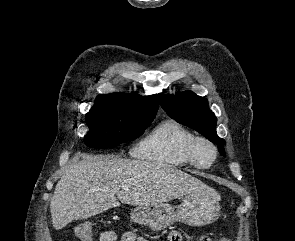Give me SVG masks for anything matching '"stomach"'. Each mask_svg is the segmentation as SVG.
Masks as SVG:
<instances>
[{
    "mask_svg": "<svg viewBox=\"0 0 295 241\" xmlns=\"http://www.w3.org/2000/svg\"><path fill=\"white\" fill-rule=\"evenodd\" d=\"M219 201V194L210 188L204 192L188 194L176 211L167 203L139 205L131 211V219L153 231L165 229L174 222L200 227L218 219Z\"/></svg>",
    "mask_w": 295,
    "mask_h": 241,
    "instance_id": "obj_1",
    "label": "stomach"
}]
</instances>
